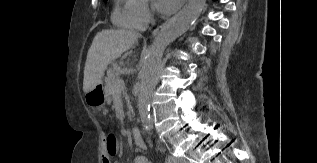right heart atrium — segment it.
Instances as JSON below:
<instances>
[{
    "mask_svg": "<svg viewBox=\"0 0 317 163\" xmlns=\"http://www.w3.org/2000/svg\"><path fill=\"white\" fill-rule=\"evenodd\" d=\"M137 15L143 25L148 24L152 20V11L146 0H140Z\"/></svg>",
    "mask_w": 317,
    "mask_h": 163,
    "instance_id": "right-heart-atrium-1",
    "label": "right heart atrium"
}]
</instances>
